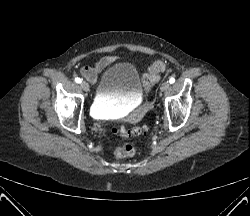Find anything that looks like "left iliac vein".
<instances>
[{
    "instance_id": "obj_1",
    "label": "left iliac vein",
    "mask_w": 250,
    "mask_h": 216,
    "mask_svg": "<svg viewBox=\"0 0 250 216\" xmlns=\"http://www.w3.org/2000/svg\"><path fill=\"white\" fill-rule=\"evenodd\" d=\"M169 87H170L169 82H164V83L161 85L160 89H161V91H167V90L169 89Z\"/></svg>"
}]
</instances>
